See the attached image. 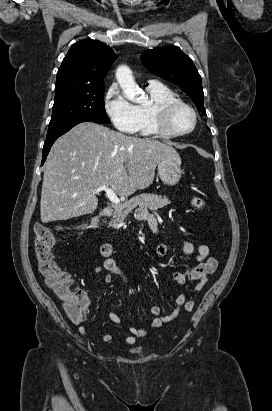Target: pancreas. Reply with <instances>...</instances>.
I'll return each instance as SVG.
<instances>
[{"label":"pancreas","mask_w":272,"mask_h":411,"mask_svg":"<svg viewBox=\"0 0 272 411\" xmlns=\"http://www.w3.org/2000/svg\"><path fill=\"white\" fill-rule=\"evenodd\" d=\"M168 204H170V201L166 196L148 193L137 195L126 201L124 204H118L114 206L113 217L108 226L116 228L137 206H139L141 209L158 210L167 206Z\"/></svg>","instance_id":"1"}]
</instances>
